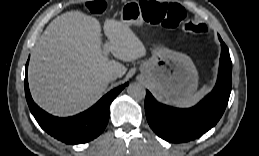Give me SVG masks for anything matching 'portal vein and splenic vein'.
<instances>
[{"label": "portal vein and splenic vein", "instance_id": "1", "mask_svg": "<svg viewBox=\"0 0 259 156\" xmlns=\"http://www.w3.org/2000/svg\"><path fill=\"white\" fill-rule=\"evenodd\" d=\"M108 52H109V44L108 43H105L104 44V49H103V53L104 55H108Z\"/></svg>", "mask_w": 259, "mask_h": 156}]
</instances>
